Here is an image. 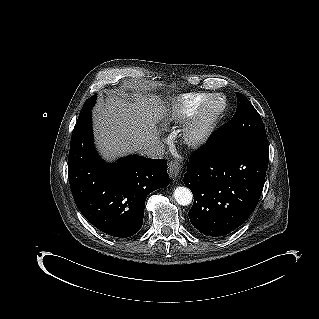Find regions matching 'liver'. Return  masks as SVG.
I'll list each match as a JSON object with an SVG mask.
<instances>
[{
  "label": "liver",
  "mask_w": 319,
  "mask_h": 319,
  "mask_svg": "<svg viewBox=\"0 0 319 319\" xmlns=\"http://www.w3.org/2000/svg\"><path fill=\"white\" fill-rule=\"evenodd\" d=\"M167 109L154 97L135 91L128 98L110 94L93 111L94 132L103 157L115 159L159 142L158 119Z\"/></svg>",
  "instance_id": "liver-1"
}]
</instances>
